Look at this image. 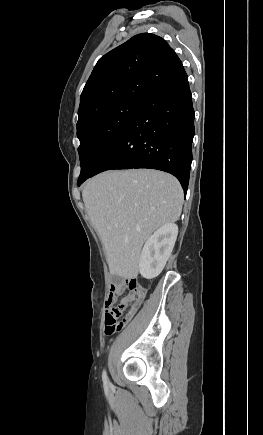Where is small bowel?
I'll return each instance as SVG.
<instances>
[{"label":"small bowel","instance_id":"1","mask_svg":"<svg viewBox=\"0 0 263 435\" xmlns=\"http://www.w3.org/2000/svg\"><path fill=\"white\" fill-rule=\"evenodd\" d=\"M117 295H118V293H117L116 291H113V290H112V292H111L109 298L107 299V301H106V303H105L106 312H107L111 307L114 306V303L116 302V299H117ZM127 323H128V322H127ZM127 323H126V324H127ZM126 324H124V326H125Z\"/></svg>","mask_w":263,"mask_h":435}]
</instances>
